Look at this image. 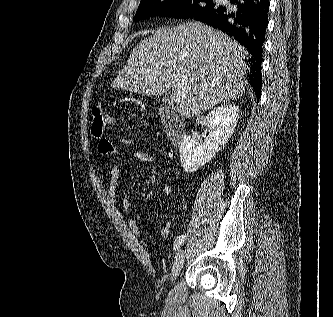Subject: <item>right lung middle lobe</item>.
I'll return each instance as SVG.
<instances>
[{
    "label": "right lung middle lobe",
    "mask_w": 333,
    "mask_h": 317,
    "mask_svg": "<svg viewBox=\"0 0 333 317\" xmlns=\"http://www.w3.org/2000/svg\"><path fill=\"white\" fill-rule=\"evenodd\" d=\"M212 6L213 2L209 0H141L134 19L152 16L193 18Z\"/></svg>",
    "instance_id": "1"
}]
</instances>
